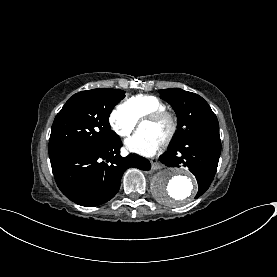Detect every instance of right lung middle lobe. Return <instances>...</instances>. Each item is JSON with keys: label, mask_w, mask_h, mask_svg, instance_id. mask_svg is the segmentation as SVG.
I'll return each instance as SVG.
<instances>
[{"label": "right lung middle lobe", "mask_w": 277, "mask_h": 277, "mask_svg": "<svg viewBox=\"0 0 277 277\" xmlns=\"http://www.w3.org/2000/svg\"><path fill=\"white\" fill-rule=\"evenodd\" d=\"M125 91L92 89L74 94L56 115L49 139V156L79 147H95L117 140L109 116Z\"/></svg>", "instance_id": "right-lung-middle-lobe-1"}]
</instances>
